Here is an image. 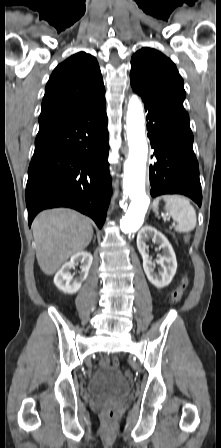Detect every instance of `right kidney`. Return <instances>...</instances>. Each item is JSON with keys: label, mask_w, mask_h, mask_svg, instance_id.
<instances>
[{"label": "right kidney", "mask_w": 221, "mask_h": 448, "mask_svg": "<svg viewBox=\"0 0 221 448\" xmlns=\"http://www.w3.org/2000/svg\"><path fill=\"white\" fill-rule=\"evenodd\" d=\"M93 257L91 253L87 251H81L73 255L69 262L65 263L62 268L56 273L54 277V284L56 287L64 293L73 294L76 293L82 283L86 280L89 269L92 265ZM81 263V273L76 279H73L70 270L75 265Z\"/></svg>", "instance_id": "1"}]
</instances>
